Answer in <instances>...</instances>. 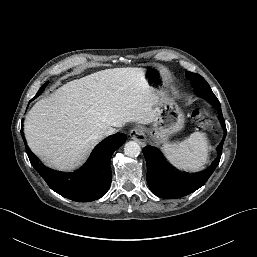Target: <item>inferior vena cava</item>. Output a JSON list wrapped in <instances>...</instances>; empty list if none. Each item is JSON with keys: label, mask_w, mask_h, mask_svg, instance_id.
Here are the masks:
<instances>
[{"label": "inferior vena cava", "mask_w": 257, "mask_h": 257, "mask_svg": "<svg viewBox=\"0 0 257 257\" xmlns=\"http://www.w3.org/2000/svg\"><path fill=\"white\" fill-rule=\"evenodd\" d=\"M117 132V130L115 128H108L107 130L103 131L102 132V136L103 137H106V136H109V135H112V134H115Z\"/></svg>", "instance_id": "inferior-vena-cava-1"}]
</instances>
